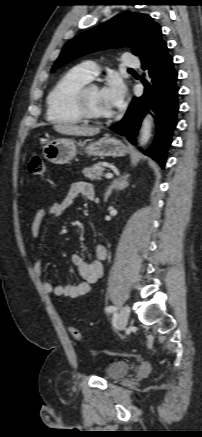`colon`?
<instances>
[{"label": "colon", "mask_w": 202, "mask_h": 437, "mask_svg": "<svg viewBox=\"0 0 202 437\" xmlns=\"http://www.w3.org/2000/svg\"><path fill=\"white\" fill-rule=\"evenodd\" d=\"M29 171L33 175H43L45 171V165L42 157L36 153L32 154L29 160ZM70 334L76 340L82 339L81 332L76 327H70Z\"/></svg>", "instance_id": "5ec220e1"}]
</instances>
